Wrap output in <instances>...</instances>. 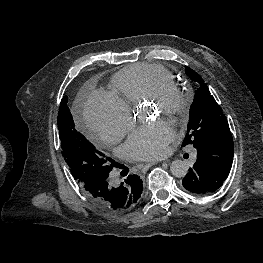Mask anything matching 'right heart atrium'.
<instances>
[{
    "mask_svg": "<svg viewBox=\"0 0 263 263\" xmlns=\"http://www.w3.org/2000/svg\"><path fill=\"white\" fill-rule=\"evenodd\" d=\"M84 117L89 130L103 145L118 141L132 127L130 110L112 94L101 91L88 97Z\"/></svg>",
    "mask_w": 263,
    "mask_h": 263,
    "instance_id": "1",
    "label": "right heart atrium"
}]
</instances>
